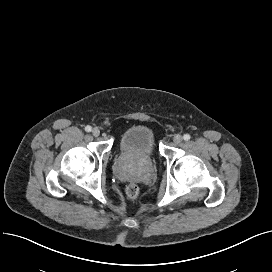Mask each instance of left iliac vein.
<instances>
[{
  "label": "left iliac vein",
  "instance_id": "1",
  "mask_svg": "<svg viewBox=\"0 0 272 272\" xmlns=\"http://www.w3.org/2000/svg\"><path fill=\"white\" fill-rule=\"evenodd\" d=\"M182 140H183V138H182V136L179 135V134H177V135H175V136L173 137V142H174L175 144L181 143Z\"/></svg>",
  "mask_w": 272,
  "mask_h": 272
}]
</instances>
